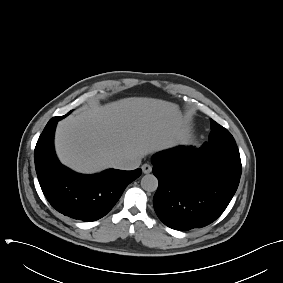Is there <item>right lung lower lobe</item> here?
<instances>
[{"label": "right lung lower lobe", "mask_w": 283, "mask_h": 283, "mask_svg": "<svg viewBox=\"0 0 283 283\" xmlns=\"http://www.w3.org/2000/svg\"><path fill=\"white\" fill-rule=\"evenodd\" d=\"M61 116L53 117L40 135L34 152L35 168L42 191L58 212L82 221L105 216L124 189L141 175V169H109L99 174H77L63 166L54 150V132Z\"/></svg>", "instance_id": "98d812e1"}]
</instances>
